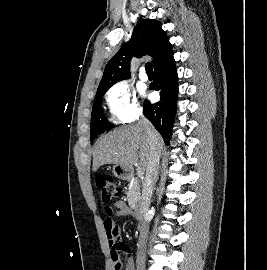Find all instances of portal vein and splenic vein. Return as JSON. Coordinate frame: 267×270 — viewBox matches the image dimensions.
Instances as JSON below:
<instances>
[{
	"label": "portal vein and splenic vein",
	"mask_w": 267,
	"mask_h": 270,
	"mask_svg": "<svg viewBox=\"0 0 267 270\" xmlns=\"http://www.w3.org/2000/svg\"><path fill=\"white\" fill-rule=\"evenodd\" d=\"M137 175L138 177H141L144 175V169L142 167H138Z\"/></svg>",
	"instance_id": "18ae733b"
}]
</instances>
